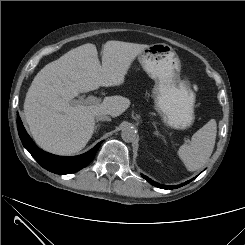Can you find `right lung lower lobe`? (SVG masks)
<instances>
[{
  "instance_id": "98d812e1",
  "label": "right lung lower lobe",
  "mask_w": 245,
  "mask_h": 245,
  "mask_svg": "<svg viewBox=\"0 0 245 245\" xmlns=\"http://www.w3.org/2000/svg\"><path fill=\"white\" fill-rule=\"evenodd\" d=\"M17 129L23 146L29 151L33 158L45 169L56 174H70L77 172L86 167L95 157V153L99 149L102 141L93 149L79 156L62 157L49 154L39 149L30 136L27 134L22 121L17 116Z\"/></svg>"
}]
</instances>
